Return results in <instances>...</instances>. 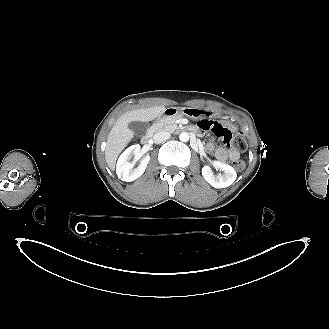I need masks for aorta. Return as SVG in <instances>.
<instances>
[{"label":"aorta","mask_w":329,"mask_h":329,"mask_svg":"<svg viewBox=\"0 0 329 329\" xmlns=\"http://www.w3.org/2000/svg\"><path fill=\"white\" fill-rule=\"evenodd\" d=\"M180 141L187 142L189 140V134L187 132H182L179 136Z\"/></svg>","instance_id":"aorta-1"}]
</instances>
